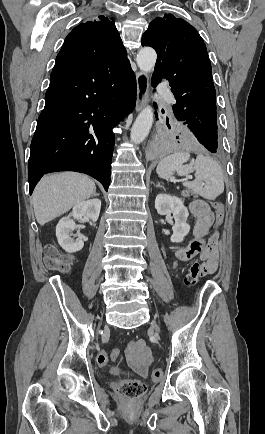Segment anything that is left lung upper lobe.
Masks as SVG:
<instances>
[{
  "label": "left lung upper lobe",
  "mask_w": 265,
  "mask_h": 434,
  "mask_svg": "<svg viewBox=\"0 0 265 434\" xmlns=\"http://www.w3.org/2000/svg\"><path fill=\"white\" fill-rule=\"evenodd\" d=\"M142 45L158 56L152 85L169 81L177 103L173 112L188 127L217 128L216 96L212 68L197 30L172 14L154 19L142 36Z\"/></svg>",
  "instance_id": "left-lung-upper-lobe-1"
}]
</instances>
